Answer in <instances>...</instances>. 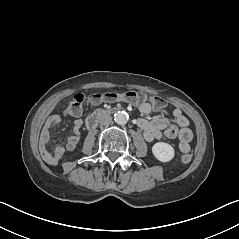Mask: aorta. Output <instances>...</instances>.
<instances>
[{
    "label": "aorta",
    "mask_w": 239,
    "mask_h": 239,
    "mask_svg": "<svg viewBox=\"0 0 239 239\" xmlns=\"http://www.w3.org/2000/svg\"><path fill=\"white\" fill-rule=\"evenodd\" d=\"M114 120L117 124L124 125L128 122L129 115L125 111H118L117 113L114 114Z\"/></svg>",
    "instance_id": "aorta-1"
}]
</instances>
